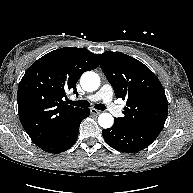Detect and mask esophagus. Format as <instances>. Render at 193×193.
I'll use <instances>...</instances> for the list:
<instances>
[{
	"mask_svg": "<svg viewBox=\"0 0 193 193\" xmlns=\"http://www.w3.org/2000/svg\"><path fill=\"white\" fill-rule=\"evenodd\" d=\"M90 112H91L92 115H99V114L101 113V111H99V110H97V109H94V108H92V109L90 110Z\"/></svg>",
	"mask_w": 193,
	"mask_h": 193,
	"instance_id": "obj_1",
	"label": "esophagus"
}]
</instances>
